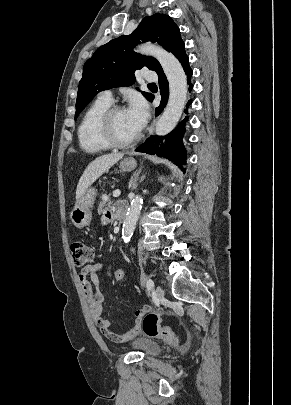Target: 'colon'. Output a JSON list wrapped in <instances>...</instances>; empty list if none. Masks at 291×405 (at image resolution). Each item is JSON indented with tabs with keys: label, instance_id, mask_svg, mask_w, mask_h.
Masks as SVG:
<instances>
[{
	"label": "colon",
	"instance_id": "obj_1",
	"mask_svg": "<svg viewBox=\"0 0 291 405\" xmlns=\"http://www.w3.org/2000/svg\"><path fill=\"white\" fill-rule=\"evenodd\" d=\"M72 262L75 267L89 265L94 260V249L83 241H74L71 244ZM113 279L120 283L124 280V270L116 268ZM141 329L145 334L159 338L171 345L178 344V337L167 326H161V315L156 312L146 314L141 321Z\"/></svg>",
	"mask_w": 291,
	"mask_h": 405
}]
</instances>
